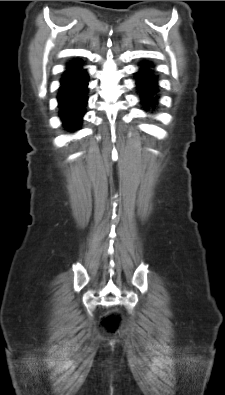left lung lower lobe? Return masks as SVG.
<instances>
[{"label": "left lung lower lobe", "instance_id": "left-lung-lower-lobe-1", "mask_svg": "<svg viewBox=\"0 0 225 395\" xmlns=\"http://www.w3.org/2000/svg\"><path fill=\"white\" fill-rule=\"evenodd\" d=\"M139 70L134 74L137 93L143 110L153 113L159 102L158 76L155 74V65L149 61L138 64Z\"/></svg>", "mask_w": 225, "mask_h": 395}]
</instances>
